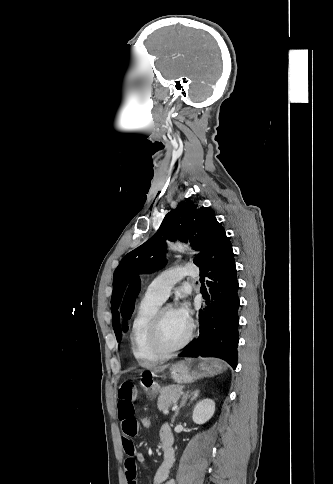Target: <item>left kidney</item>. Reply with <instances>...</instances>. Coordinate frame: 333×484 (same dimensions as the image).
<instances>
[{
  "label": "left kidney",
  "instance_id": "5707ae66",
  "mask_svg": "<svg viewBox=\"0 0 333 484\" xmlns=\"http://www.w3.org/2000/svg\"><path fill=\"white\" fill-rule=\"evenodd\" d=\"M215 412V403L211 399L199 401L194 407L192 419L196 424L206 423Z\"/></svg>",
  "mask_w": 333,
  "mask_h": 484
}]
</instances>
